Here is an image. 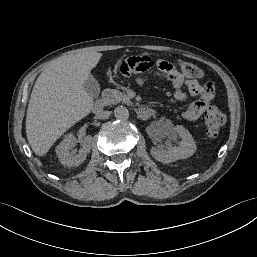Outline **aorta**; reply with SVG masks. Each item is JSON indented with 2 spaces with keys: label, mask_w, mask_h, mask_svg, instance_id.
I'll list each match as a JSON object with an SVG mask.
<instances>
[{
  "label": "aorta",
  "mask_w": 257,
  "mask_h": 257,
  "mask_svg": "<svg viewBox=\"0 0 257 257\" xmlns=\"http://www.w3.org/2000/svg\"><path fill=\"white\" fill-rule=\"evenodd\" d=\"M114 116L119 120H127L129 118V111L124 106H118L114 110Z\"/></svg>",
  "instance_id": "1"
}]
</instances>
